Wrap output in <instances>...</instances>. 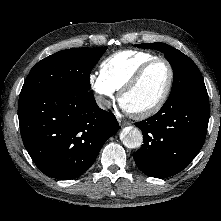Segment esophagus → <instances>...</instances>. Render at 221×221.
Here are the masks:
<instances>
[{
  "instance_id": "obj_1",
  "label": "esophagus",
  "mask_w": 221,
  "mask_h": 221,
  "mask_svg": "<svg viewBox=\"0 0 221 221\" xmlns=\"http://www.w3.org/2000/svg\"><path fill=\"white\" fill-rule=\"evenodd\" d=\"M118 123L121 127L127 124V122L122 119H118Z\"/></svg>"
}]
</instances>
